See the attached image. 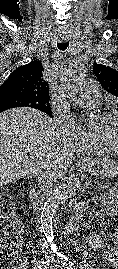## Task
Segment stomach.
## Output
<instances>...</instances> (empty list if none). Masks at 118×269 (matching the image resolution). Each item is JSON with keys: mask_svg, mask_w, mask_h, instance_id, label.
I'll return each instance as SVG.
<instances>
[{"mask_svg": "<svg viewBox=\"0 0 118 269\" xmlns=\"http://www.w3.org/2000/svg\"><path fill=\"white\" fill-rule=\"evenodd\" d=\"M82 168L99 179L109 180L118 175V163L110 158H103L94 164H83Z\"/></svg>", "mask_w": 118, "mask_h": 269, "instance_id": "stomach-1", "label": "stomach"}]
</instances>
